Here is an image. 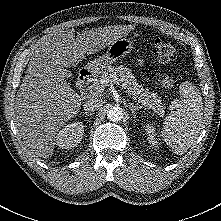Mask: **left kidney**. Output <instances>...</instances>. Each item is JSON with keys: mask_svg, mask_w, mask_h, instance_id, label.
Here are the masks:
<instances>
[{"mask_svg": "<svg viewBox=\"0 0 221 221\" xmlns=\"http://www.w3.org/2000/svg\"><path fill=\"white\" fill-rule=\"evenodd\" d=\"M145 131H146V133H147V135H148V141H149V143L152 145V146H157V144H158V142L156 141V139H155V129H154V127L153 126H151V125H146L145 126Z\"/></svg>", "mask_w": 221, "mask_h": 221, "instance_id": "left-kidney-1", "label": "left kidney"}]
</instances>
